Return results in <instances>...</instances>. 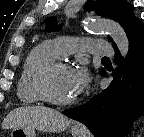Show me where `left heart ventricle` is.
Returning a JSON list of instances; mask_svg holds the SVG:
<instances>
[{
    "mask_svg": "<svg viewBox=\"0 0 144 137\" xmlns=\"http://www.w3.org/2000/svg\"><path fill=\"white\" fill-rule=\"evenodd\" d=\"M72 70L59 68L49 78V90L58 99H69L75 95L71 88Z\"/></svg>",
    "mask_w": 144,
    "mask_h": 137,
    "instance_id": "1",
    "label": "left heart ventricle"
}]
</instances>
